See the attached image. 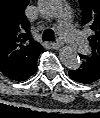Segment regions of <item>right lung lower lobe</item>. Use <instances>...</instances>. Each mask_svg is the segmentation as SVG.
I'll return each instance as SVG.
<instances>
[{
	"label": "right lung lower lobe",
	"instance_id": "98d812e1",
	"mask_svg": "<svg viewBox=\"0 0 100 118\" xmlns=\"http://www.w3.org/2000/svg\"><path fill=\"white\" fill-rule=\"evenodd\" d=\"M39 56V55H38ZM38 58V57H37ZM37 58L36 60L31 64L30 68L28 69V71L26 72L25 75H23L21 78H19V80L16 81H24L27 80L30 76H32L35 72H36V63H37Z\"/></svg>",
	"mask_w": 100,
	"mask_h": 118
}]
</instances>
